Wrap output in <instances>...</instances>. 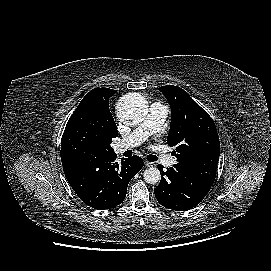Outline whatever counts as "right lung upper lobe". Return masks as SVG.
<instances>
[{"instance_id": "obj_1", "label": "right lung upper lobe", "mask_w": 271, "mask_h": 271, "mask_svg": "<svg viewBox=\"0 0 271 271\" xmlns=\"http://www.w3.org/2000/svg\"><path fill=\"white\" fill-rule=\"evenodd\" d=\"M109 90H112V89L95 88V89L91 90L79 103L78 108L88 107L89 105H91L95 101V99L97 98V96L99 94L106 92V91H109Z\"/></svg>"}]
</instances>
